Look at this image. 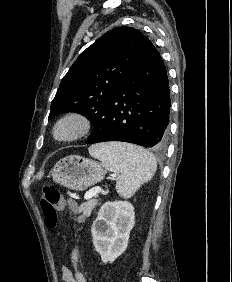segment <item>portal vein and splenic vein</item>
Listing matches in <instances>:
<instances>
[{"label": "portal vein and splenic vein", "instance_id": "obj_1", "mask_svg": "<svg viewBox=\"0 0 232 282\" xmlns=\"http://www.w3.org/2000/svg\"><path fill=\"white\" fill-rule=\"evenodd\" d=\"M114 177H115V175H114ZM101 191H102L101 187H95V188H93V189H91V190H89L85 193L84 199L88 200V199L98 195L99 193H101Z\"/></svg>", "mask_w": 232, "mask_h": 282}]
</instances>
